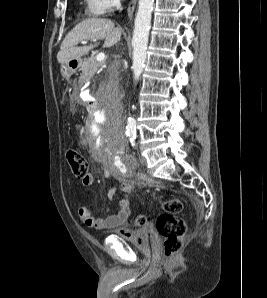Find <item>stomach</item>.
Wrapping results in <instances>:
<instances>
[{"label": "stomach", "mask_w": 267, "mask_h": 298, "mask_svg": "<svg viewBox=\"0 0 267 298\" xmlns=\"http://www.w3.org/2000/svg\"><path fill=\"white\" fill-rule=\"evenodd\" d=\"M82 61L80 59H73L61 65L60 72L66 79L80 67Z\"/></svg>", "instance_id": "obj_1"}]
</instances>
